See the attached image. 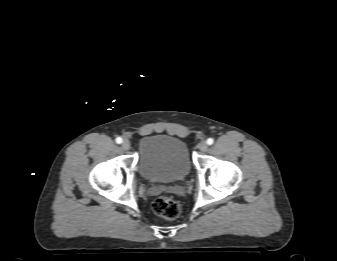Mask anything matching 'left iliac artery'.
<instances>
[{
	"label": "left iliac artery",
	"mask_w": 337,
	"mask_h": 261,
	"mask_svg": "<svg viewBox=\"0 0 337 261\" xmlns=\"http://www.w3.org/2000/svg\"><path fill=\"white\" fill-rule=\"evenodd\" d=\"M214 143V140L212 138L207 139V144L212 145Z\"/></svg>",
	"instance_id": "44dca946"
}]
</instances>
